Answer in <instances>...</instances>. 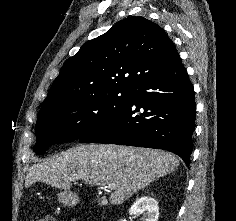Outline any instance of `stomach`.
<instances>
[{
    "instance_id": "0dacf381",
    "label": "stomach",
    "mask_w": 236,
    "mask_h": 221,
    "mask_svg": "<svg viewBox=\"0 0 236 221\" xmlns=\"http://www.w3.org/2000/svg\"><path fill=\"white\" fill-rule=\"evenodd\" d=\"M58 199L65 205H74L78 201L76 194L67 191L60 192L58 194Z\"/></svg>"
}]
</instances>
